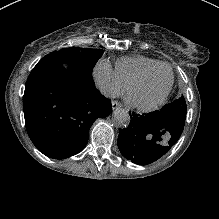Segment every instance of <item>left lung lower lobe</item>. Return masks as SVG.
<instances>
[{
    "mask_svg": "<svg viewBox=\"0 0 219 219\" xmlns=\"http://www.w3.org/2000/svg\"><path fill=\"white\" fill-rule=\"evenodd\" d=\"M128 128L118 137L122 155L136 164L156 161L179 139L185 120L173 114L155 111L146 116L131 115Z\"/></svg>",
    "mask_w": 219,
    "mask_h": 219,
    "instance_id": "left-lung-lower-lobe-1",
    "label": "left lung lower lobe"
}]
</instances>
